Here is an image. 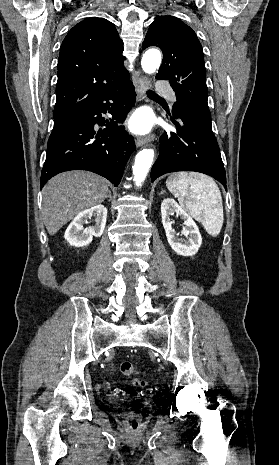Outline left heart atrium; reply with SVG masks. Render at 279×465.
Here are the masks:
<instances>
[{
  "label": "left heart atrium",
  "mask_w": 279,
  "mask_h": 465,
  "mask_svg": "<svg viewBox=\"0 0 279 465\" xmlns=\"http://www.w3.org/2000/svg\"><path fill=\"white\" fill-rule=\"evenodd\" d=\"M127 124L133 133L145 134L151 130L153 121L148 112L138 111L131 116Z\"/></svg>",
  "instance_id": "left-heart-atrium-1"
}]
</instances>
